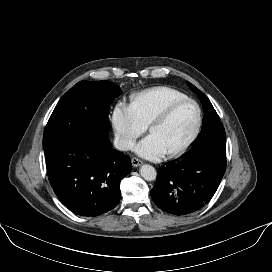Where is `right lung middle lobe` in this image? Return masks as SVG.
Masks as SVG:
<instances>
[{"mask_svg":"<svg viewBox=\"0 0 272 272\" xmlns=\"http://www.w3.org/2000/svg\"><path fill=\"white\" fill-rule=\"evenodd\" d=\"M122 94L110 81H80L67 91L52 112L43 135V148L73 133L87 132L108 138L112 101Z\"/></svg>","mask_w":272,"mask_h":272,"instance_id":"obj_1","label":"right lung middle lobe"}]
</instances>
